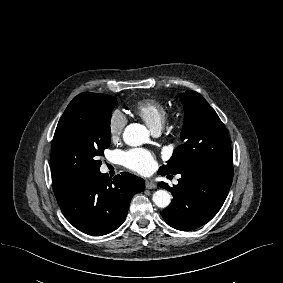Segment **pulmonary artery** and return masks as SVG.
<instances>
[{
    "label": "pulmonary artery",
    "mask_w": 283,
    "mask_h": 283,
    "mask_svg": "<svg viewBox=\"0 0 283 283\" xmlns=\"http://www.w3.org/2000/svg\"><path fill=\"white\" fill-rule=\"evenodd\" d=\"M159 133V131H154V134L157 135Z\"/></svg>",
    "instance_id": "1"
}]
</instances>
